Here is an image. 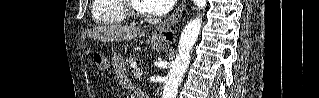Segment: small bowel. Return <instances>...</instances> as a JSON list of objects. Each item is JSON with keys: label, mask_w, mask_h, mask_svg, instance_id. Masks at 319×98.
Here are the masks:
<instances>
[{"label": "small bowel", "mask_w": 319, "mask_h": 98, "mask_svg": "<svg viewBox=\"0 0 319 98\" xmlns=\"http://www.w3.org/2000/svg\"><path fill=\"white\" fill-rule=\"evenodd\" d=\"M116 74H117L118 81H119L123 86L128 87V88L131 87V84H130L129 80L127 79V77H126L125 72H124L123 69L117 68V69H116Z\"/></svg>", "instance_id": "obj_1"}]
</instances>
